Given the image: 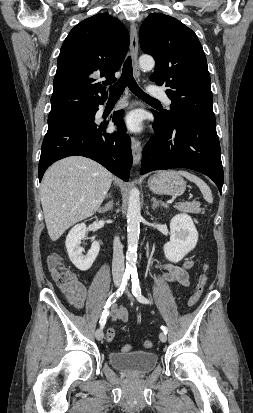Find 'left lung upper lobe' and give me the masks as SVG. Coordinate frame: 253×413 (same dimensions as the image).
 Listing matches in <instances>:
<instances>
[{"mask_svg":"<svg viewBox=\"0 0 253 413\" xmlns=\"http://www.w3.org/2000/svg\"><path fill=\"white\" fill-rule=\"evenodd\" d=\"M140 46L156 61L151 81L168 88L170 110L158 113L164 122L196 119L216 125L207 60L196 34L171 16L153 13L140 28Z\"/></svg>","mask_w":253,"mask_h":413,"instance_id":"left-lung-upper-lobe-1","label":"left lung upper lobe"}]
</instances>
